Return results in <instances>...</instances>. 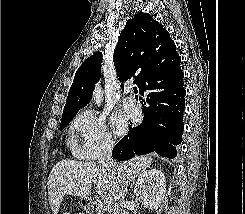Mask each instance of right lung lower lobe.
<instances>
[{"instance_id": "obj_1", "label": "right lung lower lobe", "mask_w": 245, "mask_h": 214, "mask_svg": "<svg viewBox=\"0 0 245 214\" xmlns=\"http://www.w3.org/2000/svg\"><path fill=\"white\" fill-rule=\"evenodd\" d=\"M144 92L149 94L142 109L143 122L114 147L112 157L116 160H128L154 151L170 159L177 155L173 145L181 143L184 129L183 73L177 75L169 65L155 68L140 94Z\"/></svg>"}]
</instances>
